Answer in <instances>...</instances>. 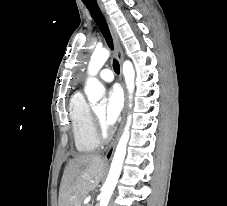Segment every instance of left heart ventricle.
Here are the masks:
<instances>
[{"instance_id": "obj_1", "label": "left heart ventricle", "mask_w": 227, "mask_h": 206, "mask_svg": "<svg viewBox=\"0 0 227 206\" xmlns=\"http://www.w3.org/2000/svg\"><path fill=\"white\" fill-rule=\"evenodd\" d=\"M95 113L96 115L102 119L103 117V114H104V108L103 107H98L96 110H95Z\"/></svg>"}]
</instances>
